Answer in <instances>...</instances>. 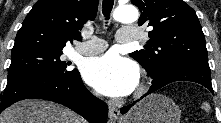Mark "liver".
<instances>
[{"instance_id": "1", "label": "liver", "mask_w": 221, "mask_h": 123, "mask_svg": "<svg viewBox=\"0 0 221 123\" xmlns=\"http://www.w3.org/2000/svg\"><path fill=\"white\" fill-rule=\"evenodd\" d=\"M0 123H84V120L59 104L30 99L5 109Z\"/></svg>"}]
</instances>
